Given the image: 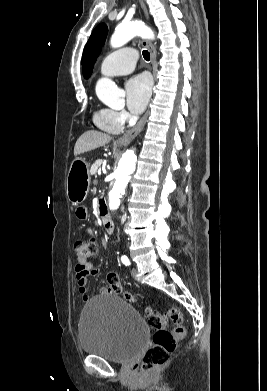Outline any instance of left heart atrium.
Wrapping results in <instances>:
<instances>
[{"label":"left heart atrium","instance_id":"left-heart-atrium-1","mask_svg":"<svg viewBox=\"0 0 267 391\" xmlns=\"http://www.w3.org/2000/svg\"><path fill=\"white\" fill-rule=\"evenodd\" d=\"M126 104L133 114L141 113L151 95V81L145 74H140L130 78L125 85Z\"/></svg>","mask_w":267,"mask_h":391}]
</instances>
